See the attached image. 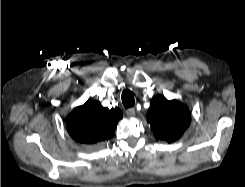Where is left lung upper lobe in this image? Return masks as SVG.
<instances>
[{"label":"left lung upper lobe","instance_id":"obj_1","mask_svg":"<svg viewBox=\"0 0 245 187\" xmlns=\"http://www.w3.org/2000/svg\"><path fill=\"white\" fill-rule=\"evenodd\" d=\"M147 121L157 139L173 143L190 125L191 114L189 109L177 100L156 96L151 101Z\"/></svg>","mask_w":245,"mask_h":187}]
</instances>
